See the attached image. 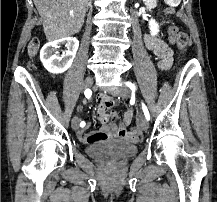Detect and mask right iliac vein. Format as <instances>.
Segmentation results:
<instances>
[{"mask_svg":"<svg viewBox=\"0 0 217 202\" xmlns=\"http://www.w3.org/2000/svg\"><path fill=\"white\" fill-rule=\"evenodd\" d=\"M93 83H94L93 77H87L85 79V81H84L83 88L84 89H88V88H90L93 85ZM71 125H72V128L74 130L78 129V127H79V118H78V116H74L73 117V119L71 121Z\"/></svg>","mask_w":217,"mask_h":202,"instance_id":"1","label":"right iliac vein"}]
</instances>
